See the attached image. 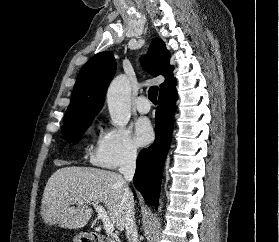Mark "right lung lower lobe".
<instances>
[{"mask_svg": "<svg viewBox=\"0 0 279 242\" xmlns=\"http://www.w3.org/2000/svg\"><path fill=\"white\" fill-rule=\"evenodd\" d=\"M176 90L159 95L156 109V138L141 150L137 158L133 183L145 201L157 209L164 162L172 137Z\"/></svg>", "mask_w": 279, "mask_h": 242, "instance_id": "1", "label": "right lung lower lobe"}]
</instances>
